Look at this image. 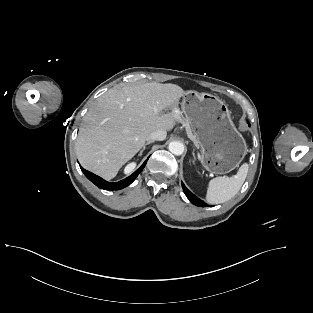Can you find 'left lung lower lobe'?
I'll list each match as a JSON object with an SVG mask.
<instances>
[{
  "label": "left lung lower lobe",
  "mask_w": 313,
  "mask_h": 313,
  "mask_svg": "<svg viewBox=\"0 0 313 313\" xmlns=\"http://www.w3.org/2000/svg\"><path fill=\"white\" fill-rule=\"evenodd\" d=\"M182 188L183 191L185 193V195L187 196V198L189 199V201L196 205V206H200V207H207L209 205L205 204L201 199H199L198 197H196L191 191H189L187 189V187L182 183Z\"/></svg>",
  "instance_id": "left-lung-lower-lobe-1"
}]
</instances>
